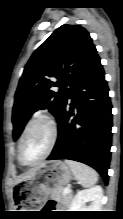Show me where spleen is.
<instances>
[{
  "instance_id": "obj_1",
  "label": "spleen",
  "mask_w": 123,
  "mask_h": 219,
  "mask_svg": "<svg viewBox=\"0 0 123 219\" xmlns=\"http://www.w3.org/2000/svg\"><path fill=\"white\" fill-rule=\"evenodd\" d=\"M65 163L71 168L76 180L84 187H91L98 181V175L89 166L71 161L65 160Z\"/></svg>"
}]
</instances>
